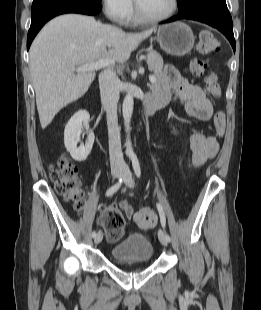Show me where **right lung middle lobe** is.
<instances>
[{
    "label": "right lung middle lobe",
    "instance_id": "right-lung-middle-lobe-1",
    "mask_svg": "<svg viewBox=\"0 0 261 310\" xmlns=\"http://www.w3.org/2000/svg\"><path fill=\"white\" fill-rule=\"evenodd\" d=\"M45 1H48V0H34L32 3V6H36V5H38L42 2H45ZM83 1L99 3L101 0H83Z\"/></svg>",
    "mask_w": 261,
    "mask_h": 310
}]
</instances>
